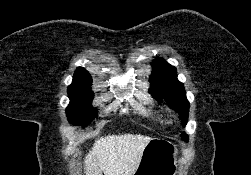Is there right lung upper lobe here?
Masks as SVG:
<instances>
[{
  "instance_id": "obj_1",
  "label": "right lung upper lobe",
  "mask_w": 251,
  "mask_h": 175,
  "mask_svg": "<svg viewBox=\"0 0 251 175\" xmlns=\"http://www.w3.org/2000/svg\"><path fill=\"white\" fill-rule=\"evenodd\" d=\"M91 83H92V77L89 74V72L85 68L79 67L76 69L73 76V82L69 87L90 88Z\"/></svg>"
}]
</instances>
